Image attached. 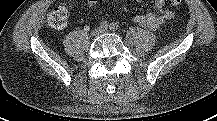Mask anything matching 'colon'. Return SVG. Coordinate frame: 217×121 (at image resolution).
Here are the masks:
<instances>
[{"instance_id": "1", "label": "colon", "mask_w": 217, "mask_h": 121, "mask_svg": "<svg viewBox=\"0 0 217 121\" xmlns=\"http://www.w3.org/2000/svg\"><path fill=\"white\" fill-rule=\"evenodd\" d=\"M172 6H179L182 0H166ZM68 13L65 7L58 6L51 10L47 15L48 24L54 29H63L67 25Z\"/></svg>"}]
</instances>
